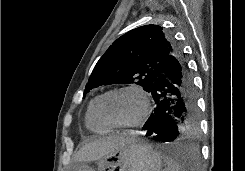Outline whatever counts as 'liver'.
Returning <instances> with one entry per match:
<instances>
[{
	"mask_svg": "<svg viewBox=\"0 0 245 171\" xmlns=\"http://www.w3.org/2000/svg\"><path fill=\"white\" fill-rule=\"evenodd\" d=\"M135 140L132 133H122L102 137L86 143L74 157L77 162H90L99 160L105 155L115 152L120 147Z\"/></svg>",
	"mask_w": 245,
	"mask_h": 171,
	"instance_id": "6515ba94",
	"label": "liver"
}]
</instances>
